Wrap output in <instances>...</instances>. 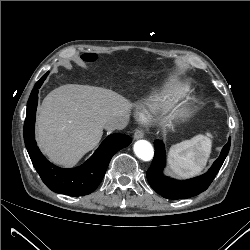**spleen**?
Segmentation results:
<instances>
[{"label": "spleen", "instance_id": "spleen-1", "mask_svg": "<svg viewBox=\"0 0 250 250\" xmlns=\"http://www.w3.org/2000/svg\"><path fill=\"white\" fill-rule=\"evenodd\" d=\"M211 146L210 138L204 135L171 146L168 153L170 169L180 177L198 175L208 161Z\"/></svg>", "mask_w": 250, "mask_h": 250}]
</instances>
